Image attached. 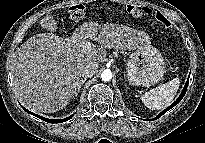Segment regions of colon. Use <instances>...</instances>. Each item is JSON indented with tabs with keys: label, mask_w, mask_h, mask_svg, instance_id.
Masks as SVG:
<instances>
[{
	"label": "colon",
	"mask_w": 205,
	"mask_h": 143,
	"mask_svg": "<svg viewBox=\"0 0 205 143\" xmlns=\"http://www.w3.org/2000/svg\"><path fill=\"white\" fill-rule=\"evenodd\" d=\"M127 13L132 17H142L153 15L149 8L141 7L137 5H127ZM69 17L73 20H81L85 15V7L82 4H75L68 9ZM155 19L164 25L165 27H170L171 23L167 17L162 13L157 12L154 14ZM40 26L44 30L52 31L56 28V18L53 14H46L40 20Z\"/></svg>",
	"instance_id": "colon-1"
}]
</instances>
